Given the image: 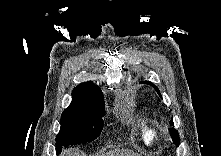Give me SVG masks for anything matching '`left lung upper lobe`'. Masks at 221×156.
Listing matches in <instances>:
<instances>
[{"mask_svg":"<svg viewBox=\"0 0 221 156\" xmlns=\"http://www.w3.org/2000/svg\"><path fill=\"white\" fill-rule=\"evenodd\" d=\"M144 83H147V84L153 86V87L155 88L156 92L158 93V95L161 97V94H160L159 89H158L153 83H151V82H149V81H146V82H144Z\"/></svg>","mask_w":221,"mask_h":156,"instance_id":"5c2ea615","label":"left lung upper lobe"}]
</instances>
